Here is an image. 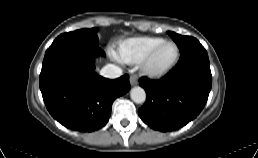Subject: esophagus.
<instances>
[{
  "label": "esophagus",
  "mask_w": 258,
  "mask_h": 158,
  "mask_svg": "<svg viewBox=\"0 0 258 158\" xmlns=\"http://www.w3.org/2000/svg\"><path fill=\"white\" fill-rule=\"evenodd\" d=\"M129 81L132 86L137 85L138 84V76L131 75L129 78Z\"/></svg>",
  "instance_id": "obj_1"
}]
</instances>
